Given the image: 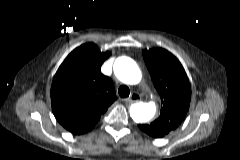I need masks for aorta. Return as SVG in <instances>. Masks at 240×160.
<instances>
[{"label": "aorta", "mask_w": 240, "mask_h": 160, "mask_svg": "<svg viewBox=\"0 0 240 160\" xmlns=\"http://www.w3.org/2000/svg\"><path fill=\"white\" fill-rule=\"evenodd\" d=\"M113 69L116 77L125 84H137L141 79L140 69L130 57L122 56L116 59ZM129 112L136 123H145L154 117L156 106L153 102H139L132 104Z\"/></svg>", "instance_id": "762f6f07"}]
</instances>
